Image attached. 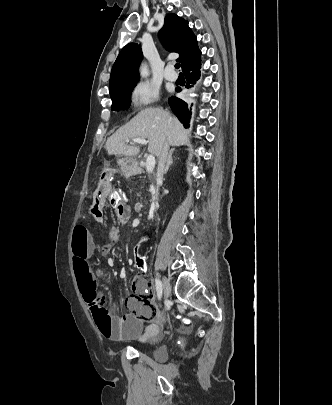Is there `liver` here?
<instances>
[{
    "label": "liver",
    "instance_id": "obj_1",
    "mask_svg": "<svg viewBox=\"0 0 332 405\" xmlns=\"http://www.w3.org/2000/svg\"><path fill=\"white\" fill-rule=\"evenodd\" d=\"M131 138L148 139V152L160 157L164 144L182 146L189 142L188 134L176 117L160 108H145L106 141L109 155L136 156L140 148L127 145Z\"/></svg>",
    "mask_w": 332,
    "mask_h": 405
}]
</instances>
